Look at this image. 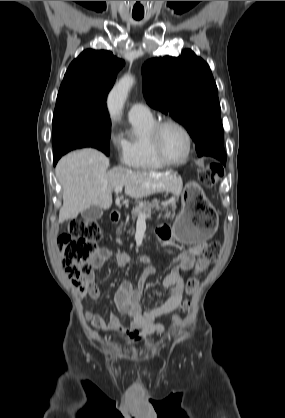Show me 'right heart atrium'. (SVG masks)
Here are the masks:
<instances>
[{
  "mask_svg": "<svg viewBox=\"0 0 285 418\" xmlns=\"http://www.w3.org/2000/svg\"><path fill=\"white\" fill-rule=\"evenodd\" d=\"M107 140L110 147L116 152L118 162L128 164L127 150L124 142L113 129L108 130Z\"/></svg>",
  "mask_w": 285,
  "mask_h": 418,
  "instance_id": "obj_1",
  "label": "right heart atrium"
}]
</instances>
